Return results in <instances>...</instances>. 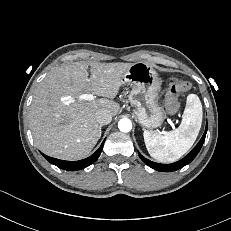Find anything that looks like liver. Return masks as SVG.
<instances>
[{
    "label": "liver",
    "mask_w": 231,
    "mask_h": 231,
    "mask_svg": "<svg viewBox=\"0 0 231 231\" xmlns=\"http://www.w3.org/2000/svg\"><path fill=\"white\" fill-rule=\"evenodd\" d=\"M132 65L79 61L52 70L37 86L29 108L36 146L62 160L86 157L101 137L95 113L107 110L113 116L118 114L119 104L109 99L116 97L122 76ZM90 92L105 98L79 99Z\"/></svg>",
    "instance_id": "liver-1"
}]
</instances>
